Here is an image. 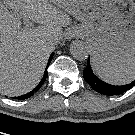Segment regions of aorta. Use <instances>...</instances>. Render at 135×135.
I'll return each instance as SVG.
<instances>
[{"label": "aorta", "mask_w": 135, "mask_h": 135, "mask_svg": "<svg viewBox=\"0 0 135 135\" xmlns=\"http://www.w3.org/2000/svg\"><path fill=\"white\" fill-rule=\"evenodd\" d=\"M70 52L76 60L84 61L89 55V48L84 42L75 40L70 45Z\"/></svg>", "instance_id": "aorta-1"}]
</instances>
